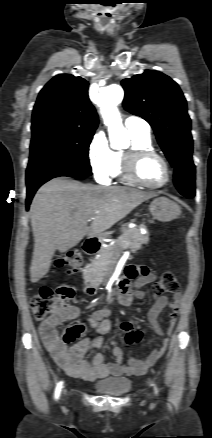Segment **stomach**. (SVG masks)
Instances as JSON below:
<instances>
[{
    "label": "stomach",
    "mask_w": 212,
    "mask_h": 438,
    "mask_svg": "<svg viewBox=\"0 0 212 438\" xmlns=\"http://www.w3.org/2000/svg\"><path fill=\"white\" fill-rule=\"evenodd\" d=\"M149 210L153 218L161 222L172 221L181 213L180 206L166 197L154 199L149 206Z\"/></svg>",
    "instance_id": "1"
}]
</instances>
